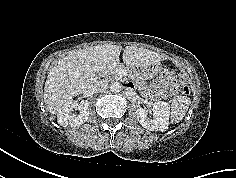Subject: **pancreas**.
Listing matches in <instances>:
<instances>
[{"label":"pancreas","instance_id":"pancreas-1","mask_svg":"<svg viewBox=\"0 0 236 178\" xmlns=\"http://www.w3.org/2000/svg\"><path fill=\"white\" fill-rule=\"evenodd\" d=\"M121 70L126 71V74L128 77L135 82L136 88H138L139 91L142 92L144 96H150L151 98L160 97L162 95V92H157L155 95H151L150 92L151 89L146 85V82L144 79L140 76L139 72L134 68H128V67H119L116 68L114 71H112V76L115 80H120L122 76L119 74Z\"/></svg>","mask_w":236,"mask_h":178}]
</instances>
